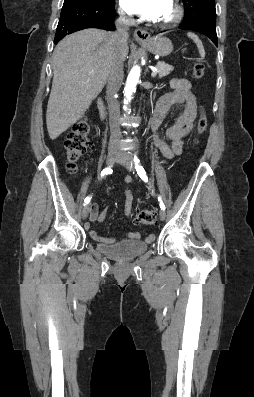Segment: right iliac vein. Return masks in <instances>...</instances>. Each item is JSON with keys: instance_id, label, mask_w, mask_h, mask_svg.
<instances>
[{"instance_id": "obj_1", "label": "right iliac vein", "mask_w": 254, "mask_h": 397, "mask_svg": "<svg viewBox=\"0 0 254 397\" xmlns=\"http://www.w3.org/2000/svg\"><path fill=\"white\" fill-rule=\"evenodd\" d=\"M120 158V154L117 152H111L108 154L106 164L108 166L114 164ZM90 212V205H86L82 210V219H86Z\"/></svg>"}]
</instances>
